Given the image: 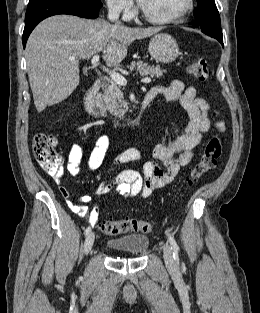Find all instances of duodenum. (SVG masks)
Listing matches in <instances>:
<instances>
[{
  "instance_id": "duodenum-1",
  "label": "duodenum",
  "mask_w": 260,
  "mask_h": 313,
  "mask_svg": "<svg viewBox=\"0 0 260 313\" xmlns=\"http://www.w3.org/2000/svg\"><path fill=\"white\" fill-rule=\"evenodd\" d=\"M101 86H102V79L99 78L86 91L85 96H84V107H85V110L93 118L105 121V122L110 123V124L115 125V126H119L120 124H118L117 122L112 120L108 116L106 111L103 108H101L99 106V104H98V97H99V92H100ZM151 101H152L151 98L147 96L143 100V102L141 104V113H140V115L135 120L126 123L124 126H126V127H136V126H139L141 124L144 111L149 106Z\"/></svg>"
}]
</instances>
